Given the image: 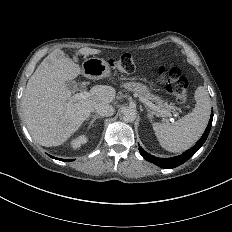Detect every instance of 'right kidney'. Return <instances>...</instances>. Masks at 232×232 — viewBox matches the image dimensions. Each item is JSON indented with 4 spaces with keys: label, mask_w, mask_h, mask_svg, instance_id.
<instances>
[{
    "label": "right kidney",
    "mask_w": 232,
    "mask_h": 232,
    "mask_svg": "<svg viewBox=\"0 0 232 232\" xmlns=\"http://www.w3.org/2000/svg\"><path fill=\"white\" fill-rule=\"evenodd\" d=\"M87 141H88V138L86 137V135H80V136L72 139L70 144H71V147L73 149H78L81 147V145L86 144Z\"/></svg>",
    "instance_id": "1"
}]
</instances>
